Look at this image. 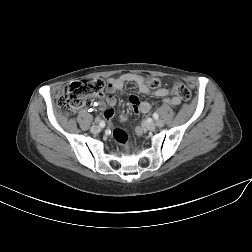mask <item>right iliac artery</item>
<instances>
[{"label": "right iliac artery", "instance_id": "obj_1", "mask_svg": "<svg viewBox=\"0 0 252 252\" xmlns=\"http://www.w3.org/2000/svg\"><path fill=\"white\" fill-rule=\"evenodd\" d=\"M100 129H101V130H104V129H105L104 120H102L101 123H100Z\"/></svg>", "mask_w": 252, "mask_h": 252}]
</instances>
